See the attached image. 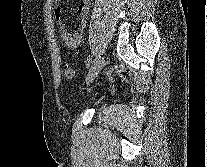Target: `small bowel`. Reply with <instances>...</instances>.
Segmentation results:
<instances>
[{"instance_id":"1","label":"small bowel","mask_w":207,"mask_h":167,"mask_svg":"<svg viewBox=\"0 0 207 167\" xmlns=\"http://www.w3.org/2000/svg\"><path fill=\"white\" fill-rule=\"evenodd\" d=\"M90 0H81L80 5L78 7V14L82 18V24L80 27L75 31L71 32L67 27L66 23L63 21V10L61 6H58L55 12V18L57 22V28L60 32V40L61 42L69 47L75 48L77 47L83 37L84 29H85V20L89 11Z\"/></svg>"}]
</instances>
